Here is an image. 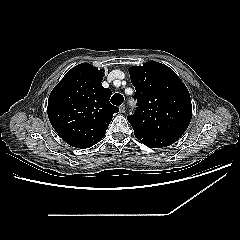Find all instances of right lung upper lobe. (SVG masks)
I'll return each mask as SVG.
<instances>
[{
    "mask_svg": "<svg viewBox=\"0 0 240 240\" xmlns=\"http://www.w3.org/2000/svg\"><path fill=\"white\" fill-rule=\"evenodd\" d=\"M103 77V70L82 63L68 71L50 93V123L73 147L85 149L98 143L119 111L109 102L112 92L102 86Z\"/></svg>",
    "mask_w": 240,
    "mask_h": 240,
    "instance_id": "obj_1",
    "label": "right lung upper lobe"
}]
</instances>
